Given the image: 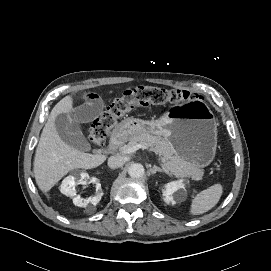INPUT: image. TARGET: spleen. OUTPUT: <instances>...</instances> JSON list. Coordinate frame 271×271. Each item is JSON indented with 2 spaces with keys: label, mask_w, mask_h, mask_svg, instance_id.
<instances>
[{
  "label": "spleen",
  "mask_w": 271,
  "mask_h": 271,
  "mask_svg": "<svg viewBox=\"0 0 271 271\" xmlns=\"http://www.w3.org/2000/svg\"><path fill=\"white\" fill-rule=\"evenodd\" d=\"M222 193L223 187L221 184H214L201 191L192 199L189 213L196 216L211 210L219 202Z\"/></svg>",
  "instance_id": "obj_1"
}]
</instances>
